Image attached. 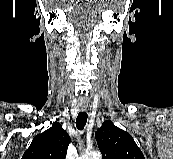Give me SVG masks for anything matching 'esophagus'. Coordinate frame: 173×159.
<instances>
[{
	"instance_id": "esophagus-1",
	"label": "esophagus",
	"mask_w": 173,
	"mask_h": 159,
	"mask_svg": "<svg viewBox=\"0 0 173 159\" xmlns=\"http://www.w3.org/2000/svg\"><path fill=\"white\" fill-rule=\"evenodd\" d=\"M82 110L84 111V110H86V108H85V107H83V108H82Z\"/></svg>"
}]
</instances>
